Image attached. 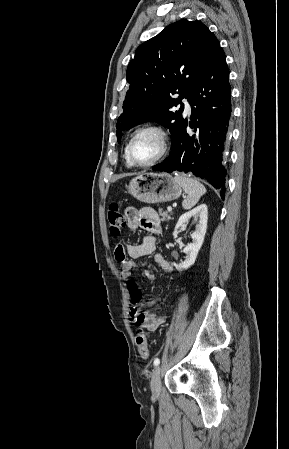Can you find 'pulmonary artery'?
I'll return each mask as SVG.
<instances>
[{
	"label": "pulmonary artery",
	"mask_w": 289,
	"mask_h": 449,
	"mask_svg": "<svg viewBox=\"0 0 289 449\" xmlns=\"http://www.w3.org/2000/svg\"><path fill=\"white\" fill-rule=\"evenodd\" d=\"M183 103H184V106H185V111L187 113H189L191 111V106H190L189 102L186 99H184Z\"/></svg>",
	"instance_id": "obj_1"
}]
</instances>
